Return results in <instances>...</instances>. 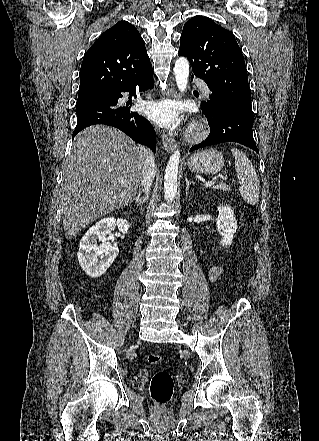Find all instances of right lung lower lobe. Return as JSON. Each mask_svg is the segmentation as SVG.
<instances>
[{
    "instance_id": "98d812e1",
    "label": "right lung lower lobe",
    "mask_w": 319,
    "mask_h": 441,
    "mask_svg": "<svg viewBox=\"0 0 319 441\" xmlns=\"http://www.w3.org/2000/svg\"><path fill=\"white\" fill-rule=\"evenodd\" d=\"M153 86V70H150L110 95L77 107V125L72 137L74 138L77 133L88 126L106 124L120 129L134 141L148 146L155 153L156 137L151 123L138 113L130 112L129 107L117 105L122 92H129L136 97V87H139V91H143Z\"/></svg>"
}]
</instances>
